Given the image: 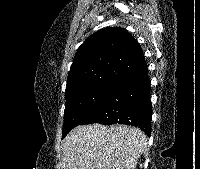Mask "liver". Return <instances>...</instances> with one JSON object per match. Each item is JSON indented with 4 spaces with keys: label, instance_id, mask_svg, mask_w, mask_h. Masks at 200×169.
I'll return each mask as SVG.
<instances>
[{
    "label": "liver",
    "instance_id": "obj_1",
    "mask_svg": "<svg viewBox=\"0 0 200 169\" xmlns=\"http://www.w3.org/2000/svg\"><path fill=\"white\" fill-rule=\"evenodd\" d=\"M146 145L139 128L80 125L64 139L61 169H135Z\"/></svg>",
    "mask_w": 200,
    "mask_h": 169
}]
</instances>
